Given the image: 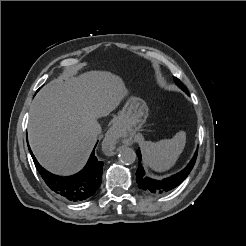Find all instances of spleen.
I'll return each mask as SVG.
<instances>
[{
	"mask_svg": "<svg viewBox=\"0 0 246 246\" xmlns=\"http://www.w3.org/2000/svg\"><path fill=\"white\" fill-rule=\"evenodd\" d=\"M186 133L179 131L171 139L158 142L145 141L141 144L146 164L157 172H164L172 168L184 150Z\"/></svg>",
	"mask_w": 246,
	"mask_h": 246,
	"instance_id": "3e777b00",
	"label": "spleen"
}]
</instances>
